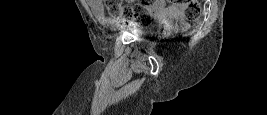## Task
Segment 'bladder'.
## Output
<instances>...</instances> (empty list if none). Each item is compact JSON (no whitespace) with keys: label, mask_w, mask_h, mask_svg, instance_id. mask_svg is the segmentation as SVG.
I'll return each mask as SVG.
<instances>
[{"label":"bladder","mask_w":267,"mask_h":115,"mask_svg":"<svg viewBox=\"0 0 267 115\" xmlns=\"http://www.w3.org/2000/svg\"><path fill=\"white\" fill-rule=\"evenodd\" d=\"M144 34H146V31H143V30H142V31H139V32H138V35H144Z\"/></svg>","instance_id":"obj_1"}]
</instances>
